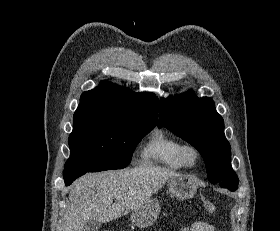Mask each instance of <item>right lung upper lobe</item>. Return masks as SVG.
Here are the masks:
<instances>
[{
	"instance_id": "cb5924a9",
	"label": "right lung upper lobe",
	"mask_w": 280,
	"mask_h": 231,
	"mask_svg": "<svg viewBox=\"0 0 280 231\" xmlns=\"http://www.w3.org/2000/svg\"><path fill=\"white\" fill-rule=\"evenodd\" d=\"M158 99L148 92L134 93L130 89L102 82L81 95L73 119L113 118L156 126Z\"/></svg>"
}]
</instances>
